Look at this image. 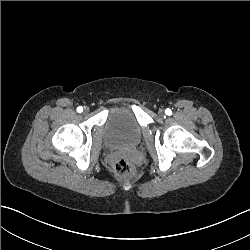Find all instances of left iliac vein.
Returning a JSON list of instances; mask_svg holds the SVG:
<instances>
[{
	"instance_id": "1",
	"label": "left iliac vein",
	"mask_w": 250,
	"mask_h": 250,
	"mask_svg": "<svg viewBox=\"0 0 250 250\" xmlns=\"http://www.w3.org/2000/svg\"><path fill=\"white\" fill-rule=\"evenodd\" d=\"M158 114H159L160 116H163V115H164V110H163V109H160V110L158 111Z\"/></svg>"
}]
</instances>
